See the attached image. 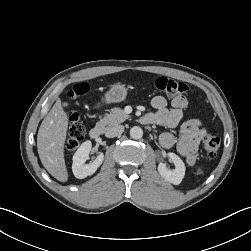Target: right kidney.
<instances>
[{"label": "right kidney", "mask_w": 251, "mask_h": 251, "mask_svg": "<svg viewBox=\"0 0 251 251\" xmlns=\"http://www.w3.org/2000/svg\"><path fill=\"white\" fill-rule=\"evenodd\" d=\"M91 147V141L87 140L81 144L73 156L72 171L74 176L78 179H83L94 174L104 160V154L99 153L93 162L85 164L86 160L89 158Z\"/></svg>", "instance_id": "obj_1"}]
</instances>
